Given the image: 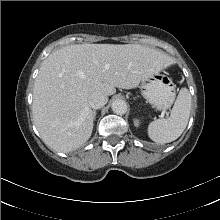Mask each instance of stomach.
Masks as SVG:
<instances>
[{
  "label": "stomach",
  "instance_id": "stomach-1",
  "mask_svg": "<svg viewBox=\"0 0 220 220\" xmlns=\"http://www.w3.org/2000/svg\"><path fill=\"white\" fill-rule=\"evenodd\" d=\"M141 89L147 101L158 110L170 108L175 99L174 83L164 74L157 73L143 81Z\"/></svg>",
  "mask_w": 220,
  "mask_h": 220
}]
</instances>
